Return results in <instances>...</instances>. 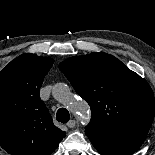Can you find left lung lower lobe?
I'll list each match as a JSON object with an SVG mask.
<instances>
[{
  "instance_id": "obj_1",
  "label": "left lung lower lobe",
  "mask_w": 155,
  "mask_h": 155,
  "mask_svg": "<svg viewBox=\"0 0 155 155\" xmlns=\"http://www.w3.org/2000/svg\"><path fill=\"white\" fill-rule=\"evenodd\" d=\"M148 131L126 132L111 136L87 135L101 155H131L144 142Z\"/></svg>"
}]
</instances>
